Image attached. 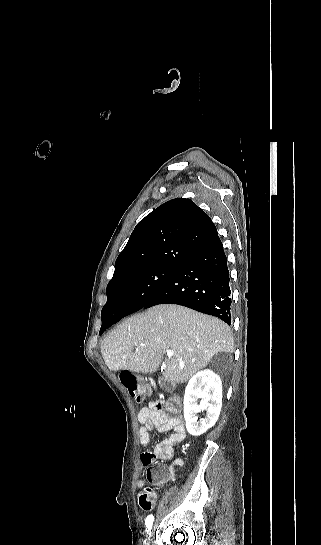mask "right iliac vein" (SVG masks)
Returning <instances> with one entry per match:
<instances>
[{"label": "right iliac vein", "mask_w": 321, "mask_h": 545, "mask_svg": "<svg viewBox=\"0 0 321 545\" xmlns=\"http://www.w3.org/2000/svg\"><path fill=\"white\" fill-rule=\"evenodd\" d=\"M151 536H152V534H151V532H150V534H149V536H148V539H150V538H151Z\"/></svg>", "instance_id": "63e3f726"}]
</instances>
